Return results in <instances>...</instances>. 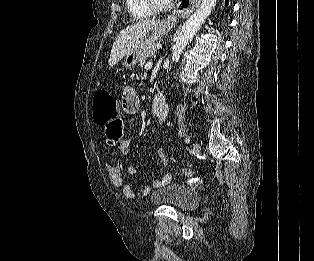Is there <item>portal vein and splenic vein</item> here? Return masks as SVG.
<instances>
[{"mask_svg":"<svg viewBox=\"0 0 314 261\" xmlns=\"http://www.w3.org/2000/svg\"><path fill=\"white\" fill-rule=\"evenodd\" d=\"M152 68V62H148L146 65H145V69L146 70H150Z\"/></svg>","mask_w":314,"mask_h":261,"instance_id":"obj_1","label":"portal vein and splenic vein"}]
</instances>
